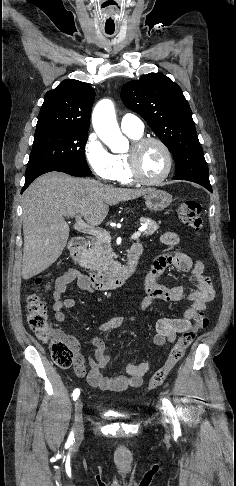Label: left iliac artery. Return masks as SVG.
I'll return each mask as SVG.
<instances>
[{"label": "left iliac artery", "mask_w": 236, "mask_h": 486, "mask_svg": "<svg viewBox=\"0 0 236 486\" xmlns=\"http://www.w3.org/2000/svg\"><path fill=\"white\" fill-rule=\"evenodd\" d=\"M163 405L174 415L175 419L173 420V423H174V431L175 432H180V424H179V421L176 417V414H175V411H174V408L171 404V402L164 398L163 399Z\"/></svg>", "instance_id": "1"}]
</instances>
